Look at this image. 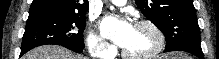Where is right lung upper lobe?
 <instances>
[{"label":"right lung upper lobe","mask_w":219,"mask_h":59,"mask_svg":"<svg viewBox=\"0 0 219 59\" xmlns=\"http://www.w3.org/2000/svg\"><path fill=\"white\" fill-rule=\"evenodd\" d=\"M89 9L88 0H33L30 12L45 11L56 14H85Z\"/></svg>","instance_id":"1"}]
</instances>
